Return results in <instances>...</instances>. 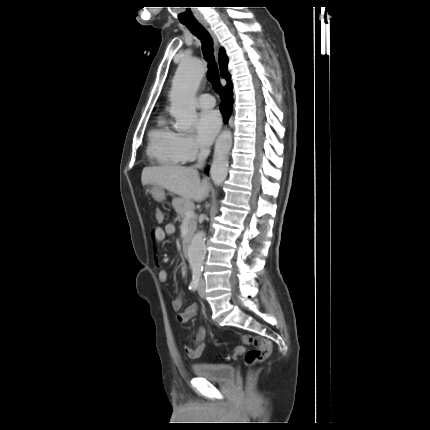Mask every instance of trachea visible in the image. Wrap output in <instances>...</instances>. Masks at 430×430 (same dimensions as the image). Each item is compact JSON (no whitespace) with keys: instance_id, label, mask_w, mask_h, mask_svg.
I'll return each mask as SVG.
<instances>
[{"instance_id":"3493384b","label":"trachea","mask_w":430,"mask_h":430,"mask_svg":"<svg viewBox=\"0 0 430 430\" xmlns=\"http://www.w3.org/2000/svg\"><path fill=\"white\" fill-rule=\"evenodd\" d=\"M195 36L202 40V50L208 63L207 78L212 83L214 89L219 92L221 89L220 77L217 65L213 57V39L208 31L199 23L184 24Z\"/></svg>"}]
</instances>
